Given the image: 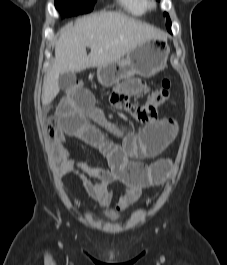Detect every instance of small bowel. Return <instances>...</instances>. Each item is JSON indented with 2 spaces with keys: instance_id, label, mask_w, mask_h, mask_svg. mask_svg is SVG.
Wrapping results in <instances>:
<instances>
[{
  "instance_id": "1",
  "label": "small bowel",
  "mask_w": 227,
  "mask_h": 265,
  "mask_svg": "<svg viewBox=\"0 0 227 265\" xmlns=\"http://www.w3.org/2000/svg\"><path fill=\"white\" fill-rule=\"evenodd\" d=\"M114 85L118 87L111 97L112 108L137 118L135 112H141L142 108L135 106L127 96L142 93L145 82L134 78L126 82L115 81ZM63 96L64 99H59V111H56L59 126L52 141L58 168L64 175L76 176L87 195L102 207H108L114 201L115 192L110 185L120 182L124 190L115 211L107 214L108 218H114L134 204L145 188L159 184L165 178L157 180L151 172L155 162L146 164L143 160L157 157L170 145L177 134V124L171 119H162L145 126L139 133L125 134L95 107L98 99H93L86 87H66ZM105 131L120 142L107 139ZM68 136L97 149L106 159L108 168L74 158L65 146Z\"/></svg>"
}]
</instances>
